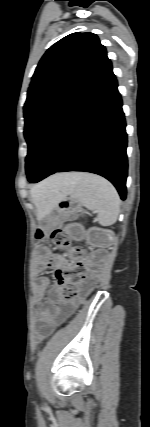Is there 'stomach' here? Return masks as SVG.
<instances>
[{
	"label": "stomach",
	"instance_id": "0dacf381",
	"mask_svg": "<svg viewBox=\"0 0 150 427\" xmlns=\"http://www.w3.org/2000/svg\"><path fill=\"white\" fill-rule=\"evenodd\" d=\"M57 211L61 213L75 212L79 208V202L74 198H66V196H60L55 203Z\"/></svg>",
	"mask_w": 150,
	"mask_h": 427
}]
</instances>
